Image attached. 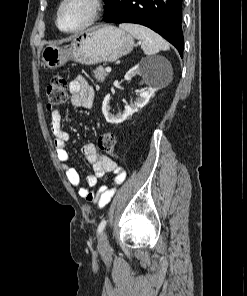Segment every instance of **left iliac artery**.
I'll list each match as a JSON object with an SVG mask.
<instances>
[{"label":"left iliac artery","mask_w":247,"mask_h":296,"mask_svg":"<svg viewBox=\"0 0 247 296\" xmlns=\"http://www.w3.org/2000/svg\"><path fill=\"white\" fill-rule=\"evenodd\" d=\"M106 226V220H102L98 226L97 232L100 234Z\"/></svg>","instance_id":"obj_1"}]
</instances>
